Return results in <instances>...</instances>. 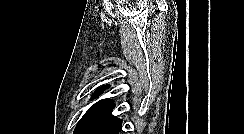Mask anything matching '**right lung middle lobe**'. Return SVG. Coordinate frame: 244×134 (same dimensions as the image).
I'll use <instances>...</instances> for the list:
<instances>
[{
	"label": "right lung middle lobe",
	"mask_w": 244,
	"mask_h": 134,
	"mask_svg": "<svg viewBox=\"0 0 244 134\" xmlns=\"http://www.w3.org/2000/svg\"><path fill=\"white\" fill-rule=\"evenodd\" d=\"M114 107L113 101L95 103L81 118L74 134H112L121 123L111 114Z\"/></svg>",
	"instance_id": "dd1d6c3e"
}]
</instances>
